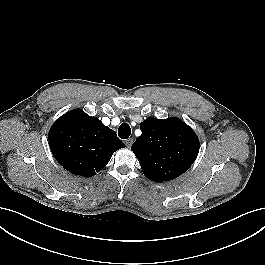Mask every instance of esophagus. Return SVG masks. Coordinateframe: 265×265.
Wrapping results in <instances>:
<instances>
[{
	"mask_svg": "<svg viewBox=\"0 0 265 265\" xmlns=\"http://www.w3.org/2000/svg\"><path fill=\"white\" fill-rule=\"evenodd\" d=\"M125 144L128 148H130L133 144V138H128L125 140Z\"/></svg>",
	"mask_w": 265,
	"mask_h": 265,
	"instance_id": "esophagus-1",
	"label": "esophagus"
}]
</instances>
